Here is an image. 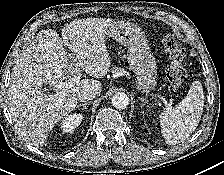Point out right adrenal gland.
Masks as SVG:
<instances>
[{
  "label": "right adrenal gland",
  "instance_id": "1",
  "mask_svg": "<svg viewBox=\"0 0 224 175\" xmlns=\"http://www.w3.org/2000/svg\"><path fill=\"white\" fill-rule=\"evenodd\" d=\"M90 104V102H85V103H83V104H78V105H76V108H79V107H83L84 108V110H86L87 109V106Z\"/></svg>",
  "mask_w": 224,
  "mask_h": 175
}]
</instances>
